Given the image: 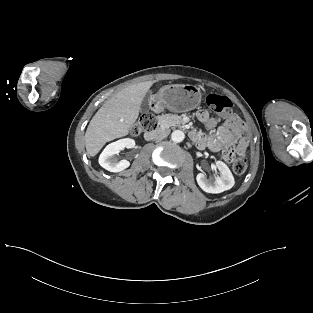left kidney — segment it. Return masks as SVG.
Segmentation results:
<instances>
[{
    "instance_id": "obj_1",
    "label": "left kidney",
    "mask_w": 313,
    "mask_h": 313,
    "mask_svg": "<svg viewBox=\"0 0 313 313\" xmlns=\"http://www.w3.org/2000/svg\"><path fill=\"white\" fill-rule=\"evenodd\" d=\"M216 166L220 171V176L216 177L215 180L207 179L203 173H199L196 176L198 185L207 193H221L231 189L235 184L234 177L224 162L217 161Z\"/></svg>"
}]
</instances>
